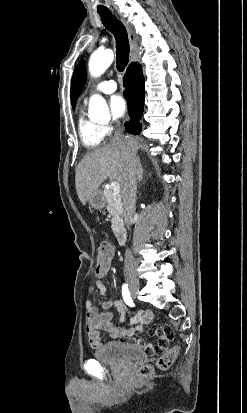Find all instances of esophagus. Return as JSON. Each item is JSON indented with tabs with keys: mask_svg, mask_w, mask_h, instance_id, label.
<instances>
[{
	"mask_svg": "<svg viewBox=\"0 0 247 413\" xmlns=\"http://www.w3.org/2000/svg\"><path fill=\"white\" fill-rule=\"evenodd\" d=\"M127 32H128V39H129V43H130V56H131V60H136L137 59V55H138V43L133 35L132 30H130V28L125 24Z\"/></svg>",
	"mask_w": 247,
	"mask_h": 413,
	"instance_id": "obj_1",
	"label": "esophagus"
}]
</instances>
